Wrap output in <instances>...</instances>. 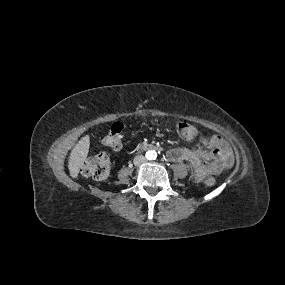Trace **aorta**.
I'll return each instance as SVG.
<instances>
[{"instance_id":"aorta-1","label":"aorta","mask_w":285,"mask_h":285,"mask_svg":"<svg viewBox=\"0 0 285 285\" xmlns=\"http://www.w3.org/2000/svg\"><path fill=\"white\" fill-rule=\"evenodd\" d=\"M146 158L148 160H155L157 158V152L155 150H148L146 152Z\"/></svg>"}]
</instances>
